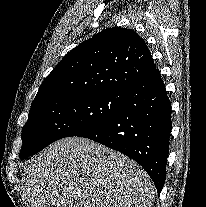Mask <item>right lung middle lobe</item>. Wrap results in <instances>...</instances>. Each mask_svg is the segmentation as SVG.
<instances>
[{"instance_id":"1","label":"right lung middle lobe","mask_w":206,"mask_h":207,"mask_svg":"<svg viewBox=\"0 0 206 207\" xmlns=\"http://www.w3.org/2000/svg\"><path fill=\"white\" fill-rule=\"evenodd\" d=\"M124 94H88L52 98L31 106L22 128L24 159L52 142L90 129L115 114Z\"/></svg>"}]
</instances>
